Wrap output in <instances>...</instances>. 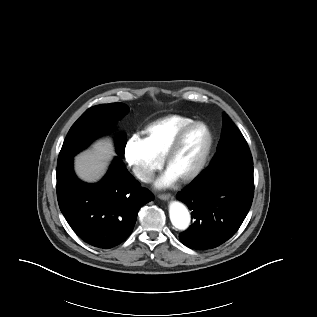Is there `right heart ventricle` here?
<instances>
[{
  "instance_id": "right-heart-ventricle-1",
  "label": "right heart ventricle",
  "mask_w": 317,
  "mask_h": 317,
  "mask_svg": "<svg viewBox=\"0 0 317 317\" xmlns=\"http://www.w3.org/2000/svg\"><path fill=\"white\" fill-rule=\"evenodd\" d=\"M192 121L191 118L182 115L163 117L143 130V140L155 156L164 159L177 133Z\"/></svg>"
}]
</instances>
